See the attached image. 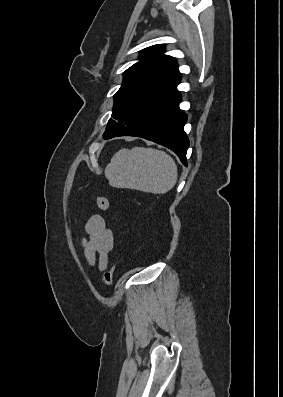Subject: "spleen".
I'll list each match as a JSON object with an SVG mask.
<instances>
[{
    "instance_id": "spleen-1",
    "label": "spleen",
    "mask_w": 283,
    "mask_h": 397,
    "mask_svg": "<svg viewBox=\"0 0 283 397\" xmlns=\"http://www.w3.org/2000/svg\"><path fill=\"white\" fill-rule=\"evenodd\" d=\"M105 177L116 188L165 194L176 184L177 165L166 152L154 148L121 149L105 168Z\"/></svg>"
}]
</instances>
